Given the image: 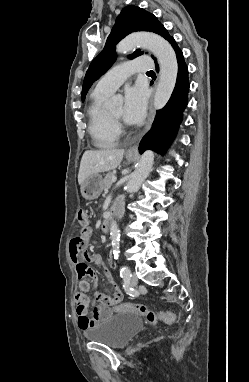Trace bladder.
I'll return each mask as SVG.
<instances>
[{"mask_svg": "<svg viewBox=\"0 0 249 382\" xmlns=\"http://www.w3.org/2000/svg\"><path fill=\"white\" fill-rule=\"evenodd\" d=\"M143 319L135 313L112 315L86 330L85 337L110 348H121L143 328Z\"/></svg>", "mask_w": 249, "mask_h": 382, "instance_id": "bladder-1", "label": "bladder"}]
</instances>
